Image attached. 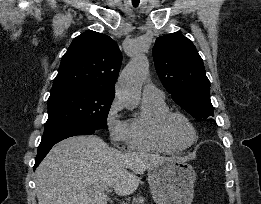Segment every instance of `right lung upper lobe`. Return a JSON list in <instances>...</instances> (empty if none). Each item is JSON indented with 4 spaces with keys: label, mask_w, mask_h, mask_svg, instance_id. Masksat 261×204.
<instances>
[{
    "label": "right lung upper lobe",
    "mask_w": 261,
    "mask_h": 204,
    "mask_svg": "<svg viewBox=\"0 0 261 204\" xmlns=\"http://www.w3.org/2000/svg\"><path fill=\"white\" fill-rule=\"evenodd\" d=\"M122 55L109 36L87 31L74 38L61 60L51 94L95 90L115 94Z\"/></svg>",
    "instance_id": "obj_1"
}]
</instances>
